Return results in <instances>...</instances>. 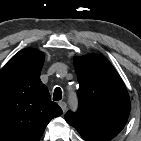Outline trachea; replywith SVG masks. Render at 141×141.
Returning a JSON list of instances; mask_svg holds the SVG:
<instances>
[{"mask_svg": "<svg viewBox=\"0 0 141 141\" xmlns=\"http://www.w3.org/2000/svg\"><path fill=\"white\" fill-rule=\"evenodd\" d=\"M62 99V91L59 87H56L53 94V100L58 101Z\"/></svg>", "mask_w": 141, "mask_h": 141, "instance_id": "3493384b", "label": "trachea"}]
</instances>
